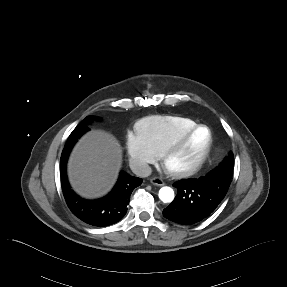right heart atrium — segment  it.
Wrapping results in <instances>:
<instances>
[{
	"label": "right heart atrium",
	"mask_w": 287,
	"mask_h": 287,
	"mask_svg": "<svg viewBox=\"0 0 287 287\" xmlns=\"http://www.w3.org/2000/svg\"><path fill=\"white\" fill-rule=\"evenodd\" d=\"M126 146L131 165L140 173H145L158 159V153L148 139L140 133H131Z\"/></svg>",
	"instance_id": "1"
}]
</instances>
